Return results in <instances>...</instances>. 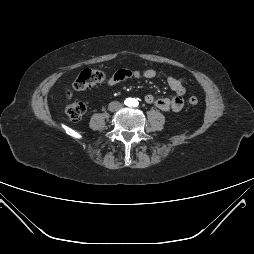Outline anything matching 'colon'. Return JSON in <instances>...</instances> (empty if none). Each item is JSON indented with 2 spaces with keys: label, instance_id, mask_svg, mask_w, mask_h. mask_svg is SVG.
<instances>
[{
  "label": "colon",
  "instance_id": "1",
  "mask_svg": "<svg viewBox=\"0 0 254 254\" xmlns=\"http://www.w3.org/2000/svg\"><path fill=\"white\" fill-rule=\"evenodd\" d=\"M106 78L107 74L102 70L84 69L74 80L72 84V90L68 91L67 95L70 96L73 91L86 90L95 84L105 81ZM188 103L191 106H196L199 103V100L196 96H191L188 99ZM86 111L87 106L84 102L81 101L71 102L65 108L66 115L73 121L80 120Z\"/></svg>",
  "mask_w": 254,
  "mask_h": 254
}]
</instances>
